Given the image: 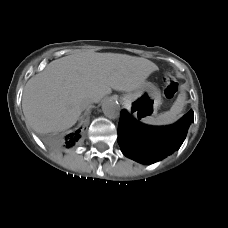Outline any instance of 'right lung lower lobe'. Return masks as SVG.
Returning <instances> with one entry per match:
<instances>
[{
    "label": "right lung lower lobe",
    "mask_w": 228,
    "mask_h": 228,
    "mask_svg": "<svg viewBox=\"0 0 228 228\" xmlns=\"http://www.w3.org/2000/svg\"><path fill=\"white\" fill-rule=\"evenodd\" d=\"M80 132H81V130L78 129L76 132L70 133V134L66 135L64 138L53 140L52 144H53V146H55L57 148H60V147L70 148V147L74 146L80 139V137H81Z\"/></svg>",
    "instance_id": "1"
}]
</instances>
